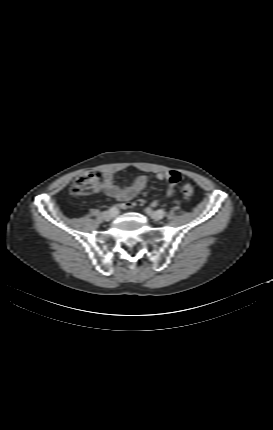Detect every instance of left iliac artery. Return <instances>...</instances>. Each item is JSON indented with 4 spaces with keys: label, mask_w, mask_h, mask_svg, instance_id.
Instances as JSON below:
<instances>
[{
    "label": "left iliac artery",
    "mask_w": 273,
    "mask_h": 430,
    "mask_svg": "<svg viewBox=\"0 0 273 430\" xmlns=\"http://www.w3.org/2000/svg\"><path fill=\"white\" fill-rule=\"evenodd\" d=\"M157 212H158V214H159L161 217H163V216H165V215H166V212H165L164 210H162V209L157 210Z\"/></svg>",
    "instance_id": "left-iliac-artery-1"
}]
</instances>
